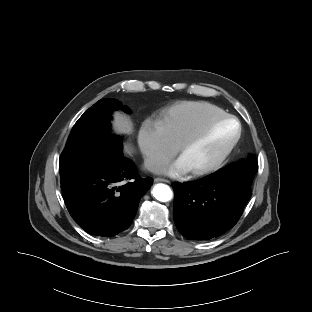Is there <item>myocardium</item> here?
I'll use <instances>...</instances> for the list:
<instances>
[{"mask_svg": "<svg viewBox=\"0 0 312 312\" xmlns=\"http://www.w3.org/2000/svg\"><path fill=\"white\" fill-rule=\"evenodd\" d=\"M233 121L237 125V130L236 134L234 137L231 139V141L227 144V146L215 157L213 158L210 162L193 168L191 169V172L196 175H201L208 173L215 168H217L233 151L237 143L239 142L242 134V126L240 121L238 120L237 117L230 115V114H225L216 118H213L209 120L205 125H203L200 129L192 133L191 135L187 136L185 139H183L179 145H178V152L182 154L189 146L192 144L198 142L200 139H202L205 135H207L210 130L216 126L219 123H222L224 121Z\"/></svg>", "mask_w": 312, "mask_h": 312, "instance_id": "myocardium-1", "label": "myocardium"}]
</instances>
